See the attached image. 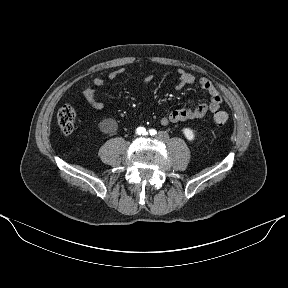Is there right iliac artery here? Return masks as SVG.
Listing matches in <instances>:
<instances>
[{"instance_id": "obj_1", "label": "right iliac artery", "mask_w": 288, "mask_h": 288, "mask_svg": "<svg viewBox=\"0 0 288 288\" xmlns=\"http://www.w3.org/2000/svg\"><path fill=\"white\" fill-rule=\"evenodd\" d=\"M136 133L139 134V135H141V134H142V135L147 134L145 128H143V127L137 128Z\"/></svg>"}]
</instances>
